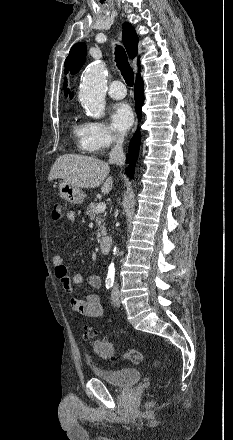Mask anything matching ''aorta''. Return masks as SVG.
Returning a JSON list of instances; mask_svg holds the SVG:
<instances>
[{"label":"aorta","mask_w":233,"mask_h":440,"mask_svg":"<svg viewBox=\"0 0 233 440\" xmlns=\"http://www.w3.org/2000/svg\"><path fill=\"white\" fill-rule=\"evenodd\" d=\"M106 95V68L103 64L90 66L82 78L79 99L85 107L87 115L99 119L104 115ZM117 249H113V254ZM115 265L113 262L108 267V278H114Z\"/></svg>","instance_id":"aorta-1"}]
</instances>
